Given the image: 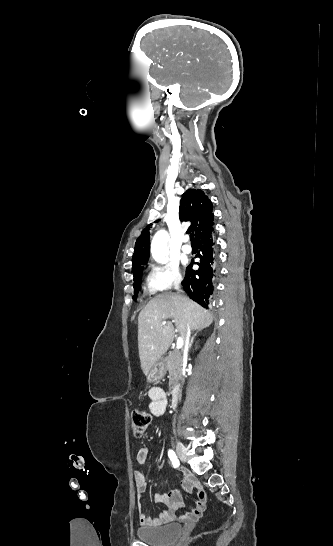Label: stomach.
I'll return each mask as SVG.
<instances>
[{
  "mask_svg": "<svg viewBox=\"0 0 333 546\" xmlns=\"http://www.w3.org/2000/svg\"><path fill=\"white\" fill-rule=\"evenodd\" d=\"M165 374H166L165 363H164V359L161 358L150 369L147 375V380L149 382H156L162 379L165 376Z\"/></svg>",
  "mask_w": 333,
  "mask_h": 546,
  "instance_id": "obj_1",
  "label": "stomach"
}]
</instances>
